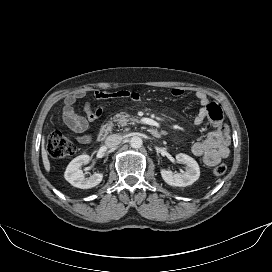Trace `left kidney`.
<instances>
[{
    "label": "left kidney",
    "mask_w": 272,
    "mask_h": 272,
    "mask_svg": "<svg viewBox=\"0 0 272 272\" xmlns=\"http://www.w3.org/2000/svg\"><path fill=\"white\" fill-rule=\"evenodd\" d=\"M176 160L185 164L186 170L181 173H173L170 170L161 169V176L168 185L186 187L192 185L199 179L200 168L198 163L192 157L180 153L176 155Z\"/></svg>",
    "instance_id": "obj_1"
}]
</instances>
